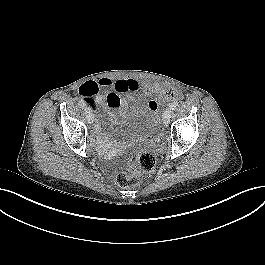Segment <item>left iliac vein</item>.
I'll return each mask as SVG.
<instances>
[{
    "instance_id": "4c4485c4",
    "label": "left iliac vein",
    "mask_w": 265,
    "mask_h": 265,
    "mask_svg": "<svg viewBox=\"0 0 265 265\" xmlns=\"http://www.w3.org/2000/svg\"><path fill=\"white\" fill-rule=\"evenodd\" d=\"M171 115H172V110L171 109H166L164 111L162 120H163V123L165 125H167L170 122Z\"/></svg>"
}]
</instances>
